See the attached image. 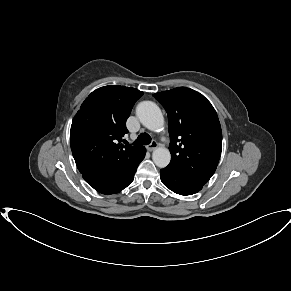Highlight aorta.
Here are the masks:
<instances>
[{
  "mask_svg": "<svg viewBox=\"0 0 291 291\" xmlns=\"http://www.w3.org/2000/svg\"><path fill=\"white\" fill-rule=\"evenodd\" d=\"M136 115L140 122L151 131H159L164 125V117L160 108L152 101H143L136 107ZM152 159L156 166L165 168L171 159L169 150L158 147L152 153Z\"/></svg>",
  "mask_w": 291,
  "mask_h": 291,
  "instance_id": "762f6f07",
  "label": "aorta"
}]
</instances>
